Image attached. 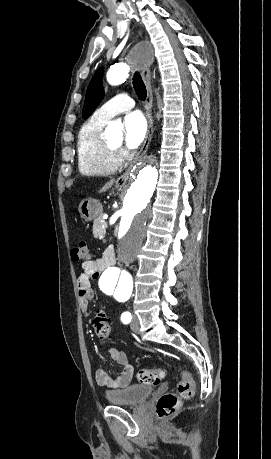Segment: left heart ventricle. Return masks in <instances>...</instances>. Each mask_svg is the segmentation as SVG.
<instances>
[{
	"label": "left heart ventricle",
	"instance_id": "b2bd125f",
	"mask_svg": "<svg viewBox=\"0 0 271 459\" xmlns=\"http://www.w3.org/2000/svg\"><path fill=\"white\" fill-rule=\"evenodd\" d=\"M106 140L115 146H120L122 145V142H123V135L120 134V135L112 136V137L107 138Z\"/></svg>",
	"mask_w": 271,
	"mask_h": 459
}]
</instances>
